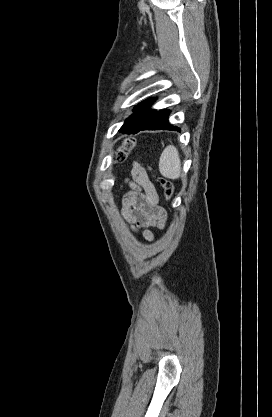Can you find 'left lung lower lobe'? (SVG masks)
Here are the masks:
<instances>
[{
	"instance_id": "1",
	"label": "left lung lower lobe",
	"mask_w": 272,
	"mask_h": 417,
	"mask_svg": "<svg viewBox=\"0 0 272 417\" xmlns=\"http://www.w3.org/2000/svg\"><path fill=\"white\" fill-rule=\"evenodd\" d=\"M169 110L156 111L148 120L138 129L133 130L130 134H135L140 130H176L179 128L168 123Z\"/></svg>"
}]
</instances>
